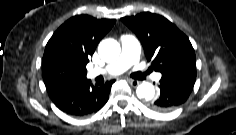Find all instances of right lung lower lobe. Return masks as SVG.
<instances>
[{"instance_id":"right-lung-lower-lobe-1","label":"right lung lower lobe","mask_w":236,"mask_h":135,"mask_svg":"<svg viewBox=\"0 0 236 135\" xmlns=\"http://www.w3.org/2000/svg\"><path fill=\"white\" fill-rule=\"evenodd\" d=\"M47 92L54 104L68 115L81 117L99 111L107 102L114 80L91 85L85 76L54 68H42Z\"/></svg>"}]
</instances>
